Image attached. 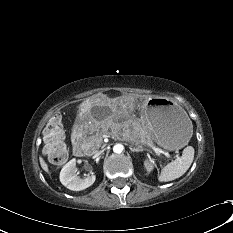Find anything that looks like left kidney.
<instances>
[{"label": "left kidney", "mask_w": 233, "mask_h": 233, "mask_svg": "<svg viewBox=\"0 0 233 233\" xmlns=\"http://www.w3.org/2000/svg\"><path fill=\"white\" fill-rule=\"evenodd\" d=\"M153 164H154L153 161H149V162L147 161V162L144 163L145 168L147 169V171H151L153 169Z\"/></svg>", "instance_id": "left-kidney-1"}]
</instances>
